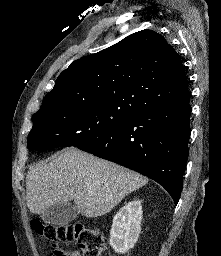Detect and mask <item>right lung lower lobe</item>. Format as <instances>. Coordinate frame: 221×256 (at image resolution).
Listing matches in <instances>:
<instances>
[{"label": "right lung lower lobe", "instance_id": "1", "mask_svg": "<svg viewBox=\"0 0 221 256\" xmlns=\"http://www.w3.org/2000/svg\"><path fill=\"white\" fill-rule=\"evenodd\" d=\"M190 98L144 111L77 148L161 184L178 203L188 158Z\"/></svg>", "mask_w": 221, "mask_h": 256}]
</instances>
